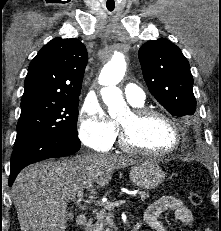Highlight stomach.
Here are the masks:
<instances>
[{
  "label": "stomach",
  "instance_id": "stomach-1",
  "mask_svg": "<svg viewBox=\"0 0 221 231\" xmlns=\"http://www.w3.org/2000/svg\"><path fill=\"white\" fill-rule=\"evenodd\" d=\"M165 178V172L153 160L136 162L130 170L132 182L143 189H154L159 186Z\"/></svg>",
  "mask_w": 221,
  "mask_h": 231
}]
</instances>
